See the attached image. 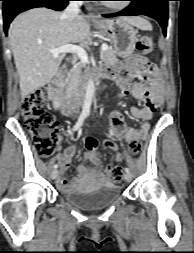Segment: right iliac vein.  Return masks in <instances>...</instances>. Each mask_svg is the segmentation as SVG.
<instances>
[{
	"label": "right iliac vein",
	"instance_id": "1",
	"mask_svg": "<svg viewBox=\"0 0 194 253\" xmlns=\"http://www.w3.org/2000/svg\"><path fill=\"white\" fill-rule=\"evenodd\" d=\"M57 176H58V171H57V170H53V171L51 172V178H52L53 180H55V179L57 178Z\"/></svg>",
	"mask_w": 194,
	"mask_h": 253
}]
</instances>
